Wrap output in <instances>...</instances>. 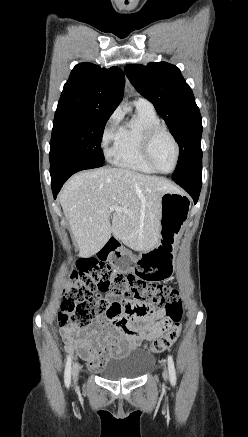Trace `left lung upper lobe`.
I'll list each match as a JSON object with an SVG mask.
<instances>
[{
	"instance_id": "left-lung-upper-lobe-1",
	"label": "left lung upper lobe",
	"mask_w": 248,
	"mask_h": 437,
	"mask_svg": "<svg viewBox=\"0 0 248 437\" xmlns=\"http://www.w3.org/2000/svg\"><path fill=\"white\" fill-rule=\"evenodd\" d=\"M125 73L135 89L155 106L179 145L172 178L202 174V119L191 88L180 70L169 63L128 64Z\"/></svg>"
}]
</instances>
